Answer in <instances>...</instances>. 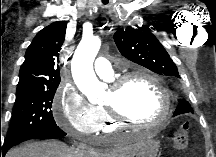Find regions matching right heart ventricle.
I'll use <instances>...</instances> for the list:
<instances>
[{
  "label": "right heart ventricle",
  "mask_w": 216,
  "mask_h": 157,
  "mask_svg": "<svg viewBox=\"0 0 216 157\" xmlns=\"http://www.w3.org/2000/svg\"><path fill=\"white\" fill-rule=\"evenodd\" d=\"M99 113L101 116V122L99 124L98 131H102L103 133H111L118 129V124H116L106 111V109L102 106L98 107Z\"/></svg>",
  "instance_id": "e07e8e85"
}]
</instances>
